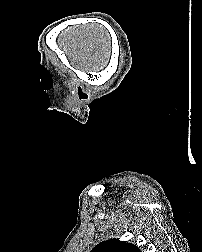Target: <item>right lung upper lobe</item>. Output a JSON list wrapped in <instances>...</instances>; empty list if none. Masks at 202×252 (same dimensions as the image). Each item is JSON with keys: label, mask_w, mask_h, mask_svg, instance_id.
Returning <instances> with one entry per match:
<instances>
[{"label": "right lung upper lobe", "mask_w": 202, "mask_h": 252, "mask_svg": "<svg viewBox=\"0 0 202 252\" xmlns=\"http://www.w3.org/2000/svg\"><path fill=\"white\" fill-rule=\"evenodd\" d=\"M91 252H141L136 245L111 239L98 244Z\"/></svg>", "instance_id": "cb5924a9"}]
</instances>
